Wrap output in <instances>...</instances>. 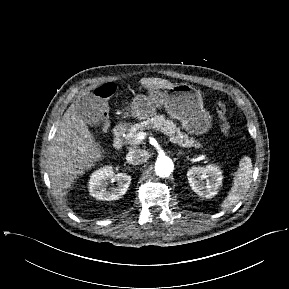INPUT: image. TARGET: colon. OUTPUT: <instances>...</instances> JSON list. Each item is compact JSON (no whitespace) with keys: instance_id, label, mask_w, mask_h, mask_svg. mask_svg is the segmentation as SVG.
I'll use <instances>...</instances> for the list:
<instances>
[{"instance_id":"1","label":"colon","mask_w":289,"mask_h":289,"mask_svg":"<svg viewBox=\"0 0 289 289\" xmlns=\"http://www.w3.org/2000/svg\"><path fill=\"white\" fill-rule=\"evenodd\" d=\"M116 91V84L113 82L105 83L95 90V95L100 101L101 112L104 116L105 123L107 122V117L109 113V104L108 100ZM216 113L220 119L221 130L225 134H229L231 131V125L228 120V109L224 102L219 101L215 104Z\"/></svg>"}]
</instances>
